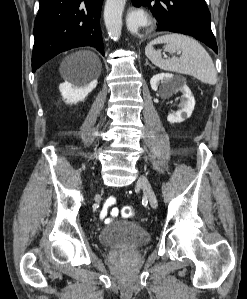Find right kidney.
<instances>
[{"label": "right kidney", "mask_w": 247, "mask_h": 299, "mask_svg": "<svg viewBox=\"0 0 247 299\" xmlns=\"http://www.w3.org/2000/svg\"><path fill=\"white\" fill-rule=\"evenodd\" d=\"M96 86L97 79H94L85 85H74L65 82L60 84L59 90L62 94V97L66 99V103L76 104L79 101H83Z\"/></svg>", "instance_id": "right-kidney-1"}]
</instances>
